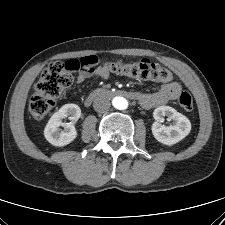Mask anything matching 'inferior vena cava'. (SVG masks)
Wrapping results in <instances>:
<instances>
[{
  "label": "inferior vena cava",
  "instance_id": "1",
  "mask_svg": "<svg viewBox=\"0 0 225 225\" xmlns=\"http://www.w3.org/2000/svg\"><path fill=\"white\" fill-rule=\"evenodd\" d=\"M110 102L108 99L104 98V97H97L94 100L93 103V107L95 109V111L99 112V113H105L110 109Z\"/></svg>",
  "mask_w": 225,
  "mask_h": 225
}]
</instances>
